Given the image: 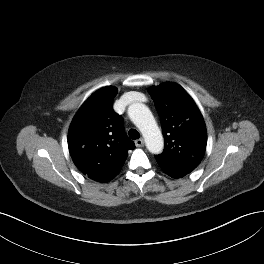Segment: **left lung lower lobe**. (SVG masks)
<instances>
[{
    "label": "left lung lower lobe",
    "instance_id": "left-lung-lower-lobe-1",
    "mask_svg": "<svg viewBox=\"0 0 264 264\" xmlns=\"http://www.w3.org/2000/svg\"><path fill=\"white\" fill-rule=\"evenodd\" d=\"M162 170L172 178H181V177L187 175L188 173H190L189 171L180 170V169H164V168H162Z\"/></svg>",
    "mask_w": 264,
    "mask_h": 264
}]
</instances>
